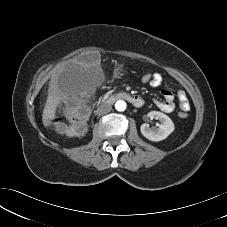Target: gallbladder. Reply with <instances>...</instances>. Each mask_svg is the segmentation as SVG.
Masks as SVG:
<instances>
[{"instance_id":"gallbladder-1","label":"gallbladder","mask_w":227,"mask_h":227,"mask_svg":"<svg viewBox=\"0 0 227 227\" xmlns=\"http://www.w3.org/2000/svg\"><path fill=\"white\" fill-rule=\"evenodd\" d=\"M80 61H89L93 64H97L99 62V55L96 53L93 54H85L80 59Z\"/></svg>"}]
</instances>
